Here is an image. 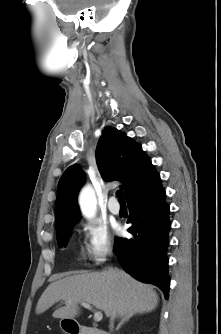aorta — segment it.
<instances>
[{
  "mask_svg": "<svg viewBox=\"0 0 221 334\" xmlns=\"http://www.w3.org/2000/svg\"><path fill=\"white\" fill-rule=\"evenodd\" d=\"M79 204L85 217L92 218L95 216L97 201L92 188L85 187L82 189L79 196Z\"/></svg>",
  "mask_w": 221,
  "mask_h": 334,
  "instance_id": "aorta-1",
  "label": "aorta"
}]
</instances>
